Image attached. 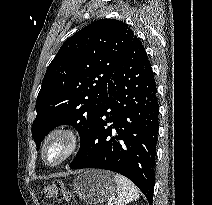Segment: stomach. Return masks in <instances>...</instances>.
Masks as SVG:
<instances>
[{
  "instance_id": "stomach-1",
  "label": "stomach",
  "mask_w": 212,
  "mask_h": 205,
  "mask_svg": "<svg viewBox=\"0 0 212 205\" xmlns=\"http://www.w3.org/2000/svg\"><path fill=\"white\" fill-rule=\"evenodd\" d=\"M73 192L88 205H100L110 200L117 183L110 171L92 169L78 175L72 183Z\"/></svg>"
}]
</instances>
